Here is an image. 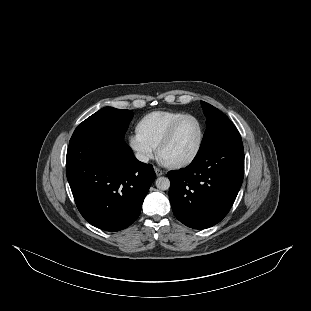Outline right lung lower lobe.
<instances>
[{
    "label": "right lung lower lobe",
    "instance_id": "right-lung-lower-lobe-1",
    "mask_svg": "<svg viewBox=\"0 0 311 311\" xmlns=\"http://www.w3.org/2000/svg\"><path fill=\"white\" fill-rule=\"evenodd\" d=\"M66 175L81 215L106 231L125 229L138 218L156 177L124 139L102 132L70 140Z\"/></svg>",
    "mask_w": 311,
    "mask_h": 311
}]
</instances>
